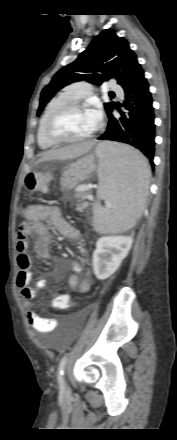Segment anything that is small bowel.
<instances>
[{"label": "small bowel", "instance_id": "small-bowel-1", "mask_svg": "<svg viewBox=\"0 0 177 440\" xmlns=\"http://www.w3.org/2000/svg\"><path fill=\"white\" fill-rule=\"evenodd\" d=\"M25 216L28 222L18 233L16 244L17 266L19 269L16 284L20 296L23 299V306L27 309V319L31 328L39 333H50L56 329L58 320L38 316L37 313L31 309V301L36 296L38 290H42L47 286L49 278L56 277V272L51 273L47 278L38 280L34 287L30 285L32 280V273L30 271L32 261L28 255V242L26 237L30 234L35 235L34 247L36 253L43 258H49L52 240L49 230L50 225L67 239L80 241L82 236L78 229L63 218L60 209L55 205H29L25 209ZM71 267L75 272L83 270L82 266L76 261L71 262ZM68 284L73 290H77L80 293H87L91 289L92 282L89 276L79 279L76 274H72L69 277ZM53 298H70V296L61 293L55 295Z\"/></svg>", "mask_w": 177, "mask_h": 440}]
</instances>
